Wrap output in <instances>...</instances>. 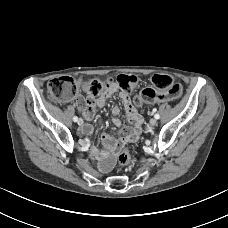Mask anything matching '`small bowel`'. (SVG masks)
Listing matches in <instances>:
<instances>
[{"instance_id": "small-bowel-1", "label": "small bowel", "mask_w": 228, "mask_h": 228, "mask_svg": "<svg viewBox=\"0 0 228 228\" xmlns=\"http://www.w3.org/2000/svg\"><path fill=\"white\" fill-rule=\"evenodd\" d=\"M119 90L116 84H113L109 89L104 91L99 97L87 99H80L77 102V107L82 117L85 120L81 132L83 134H90L93 130L91 121L95 110L100 109L104 106L107 98L114 92ZM119 96L122 99L127 117L129 119V127L121 131V135L114 137L111 135L101 134V144L105 152V157L103 160V166L105 168H110L113 165L115 155L126 143H133L139 140L142 132L143 119L141 115L136 111L130 96L124 92L120 91ZM113 115L117 116L120 113V107L115 104L112 108ZM113 124L116 127L121 126V121L119 118L115 117L113 119Z\"/></svg>"}]
</instances>
